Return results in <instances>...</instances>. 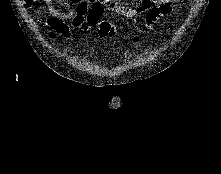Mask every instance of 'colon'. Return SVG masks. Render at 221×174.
I'll use <instances>...</instances> for the list:
<instances>
[{
	"mask_svg": "<svg viewBox=\"0 0 221 174\" xmlns=\"http://www.w3.org/2000/svg\"><path fill=\"white\" fill-rule=\"evenodd\" d=\"M26 4L31 5L32 3H36L37 0H25ZM114 28L107 22H102L100 24V33L102 35H107L109 33H112Z\"/></svg>",
	"mask_w": 221,
	"mask_h": 174,
	"instance_id": "5ec220e1",
	"label": "colon"
}]
</instances>
